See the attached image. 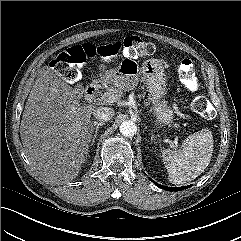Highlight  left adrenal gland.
Wrapping results in <instances>:
<instances>
[{"label":"left adrenal gland","instance_id":"1","mask_svg":"<svg viewBox=\"0 0 241 241\" xmlns=\"http://www.w3.org/2000/svg\"><path fill=\"white\" fill-rule=\"evenodd\" d=\"M154 140H155V136L152 134V136H151V143H153V142L155 143Z\"/></svg>","mask_w":241,"mask_h":241}]
</instances>
